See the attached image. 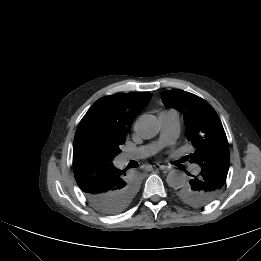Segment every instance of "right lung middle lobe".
I'll list each match as a JSON object with an SVG mask.
<instances>
[{"label":"right lung middle lobe","mask_w":261,"mask_h":261,"mask_svg":"<svg viewBox=\"0 0 261 261\" xmlns=\"http://www.w3.org/2000/svg\"><path fill=\"white\" fill-rule=\"evenodd\" d=\"M125 142L123 136H109L96 131H85L74 139V153L81 159L111 162L121 150ZM138 189L136 181L132 180L125 189V202L130 204Z\"/></svg>","instance_id":"obj_1"}]
</instances>
